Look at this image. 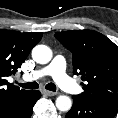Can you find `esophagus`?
<instances>
[{
    "mask_svg": "<svg viewBox=\"0 0 118 118\" xmlns=\"http://www.w3.org/2000/svg\"><path fill=\"white\" fill-rule=\"evenodd\" d=\"M43 93L47 96H55L57 94L56 92H52L48 90H43Z\"/></svg>",
    "mask_w": 118,
    "mask_h": 118,
    "instance_id": "obj_1",
    "label": "esophagus"
}]
</instances>
